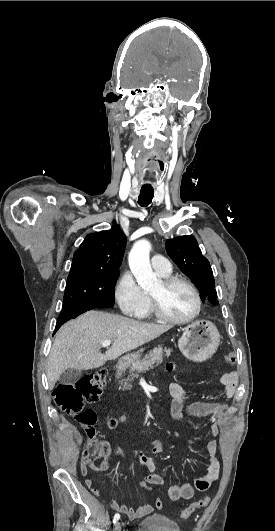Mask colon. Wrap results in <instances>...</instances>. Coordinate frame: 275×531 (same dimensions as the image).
Here are the masks:
<instances>
[{
    "instance_id": "5ec220e1",
    "label": "colon",
    "mask_w": 275,
    "mask_h": 531,
    "mask_svg": "<svg viewBox=\"0 0 275 531\" xmlns=\"http://www.w3.org/2000/svg\"><path fill=\"white\" fill-rule=\"evenodd\" d=\"M225 356L228 364H234L236 362V353L234 350H227ZM106 381V372L99 370L95 374H86L75 381L59 383L53 390V398L56 405L63 412L73 416L85 431L87 443L83 451V470H88L89 468L100 470L105 466L104 461L108 451V445L97 437L96 413L84 407L87 403L95 402L99 399ZM110 425L111 427H116L118 421L112 419ZM86 484L88 487H92L93 481L87 479ZM140 486H144L145 490L150 488L148 483H140ZM209 502L210 498L208 496L195 500L182 512V519L187 521L189 514L196 510L206 508ZM162 506V501L158 500L156 507L161 509Z\"/></svg>"
}]
</instances>
